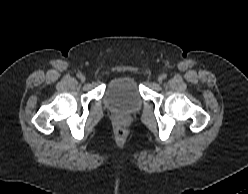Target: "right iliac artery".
<instances>
[{
  "label": "right iliac artery",
  "mask_w": 248,
  "mask_h": 194,
  "mask_svg": "<svg viewBox=\"0 0 248 194\" xmlns=\"http://www.w3.org/2000/svg\"><path fill=\"white\" fill-rule=\"evenodd\" d=\"M77 77L78 78H81L82 77V74L81 73H77Z\"/></svg>",
  "instance_id": "82829eb1"
}]
</instances>
